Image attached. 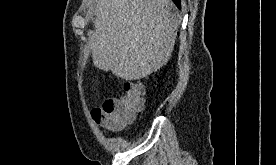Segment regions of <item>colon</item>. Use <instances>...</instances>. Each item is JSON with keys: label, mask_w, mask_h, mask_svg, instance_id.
I'll return each instance as SVG.
<instances>
[{"label": "colon", "mask_w": 276, "mask_h": 165, "mask_svg": "<svg viewBox=\"0 0 276 165\" xmlns=\"http://www.w3.org/2000/svg\"><path fill=\"white\" fill-rule=\"evenodd\" d=\"M143 105V86L140 83L130 82L125 85L121 96L104 101L98 117H103L110 122V126L106 128L119 129L130 123Z\"/></svg>", "instance_id": "5ec220e1"}]
</instances>
